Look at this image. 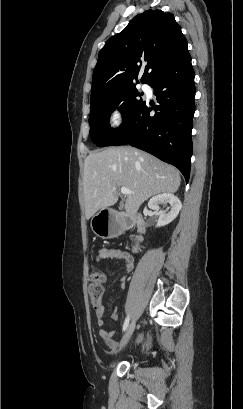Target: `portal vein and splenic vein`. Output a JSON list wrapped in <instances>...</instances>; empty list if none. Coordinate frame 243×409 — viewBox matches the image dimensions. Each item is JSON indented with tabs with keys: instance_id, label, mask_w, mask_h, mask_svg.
I'll return each mask as SVG.
<instances>
[{
	"instance_id": "1",
	"label": "portal vein and splenic vein",
	"mask_w": 243,
	"mask_h": 409,
	"mask_svg": "<svg viewBox=\"0 0 243 409\" xmlns=\"http://www.w3.org/2000/svg\"><path fill=\"white\" fill-rule=\"evenodd\" d=\"M121 193H122L123 195H128V194H133L134 192L131 191V190H129V189L126 188V187H122V188H121Z\"/></svg>"
}]
</instances>
